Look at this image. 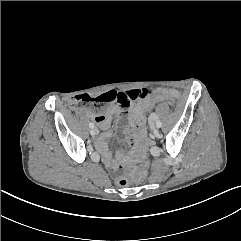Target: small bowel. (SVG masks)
<instances>
[{
    "instance_id": "obj_1",
    "label": "small bowel",
    "mask_w": 241,
    "mask_h": 241,
    "mask_svg": "<svg viewBox=\"0 0 241 241\" xmlns=\"http://www.w3.org/2000/svg\"><path fill=\"white\" fill-rule=\"evenodd\" d=\"M107 93H114L116 95H128L129 103H134L129 108V112L124 114V118L120 119L117 124V130L120 134H122L125 138V145L129 146L132 144L133 139L136 137H142L144 135V114L143 108L155 97L156 95L159 97L168 96V97H176L178 95L175 89L170 88H157L153 85H150L146 88H138L136 90L130 91H110ZM115 104V103H114ZM114 111H118L120 113V108L117 104L114 107L109 108L106 114H98L94 116V120L96 123L104 130L108 129L111 124V114ZM110 137L109 132L102 133L96 140V148L100 152L103 162L106 166H108L113 172L116 171V165L112 160V155L107 149V140Z\"/></svg>"
}]
</instances>
